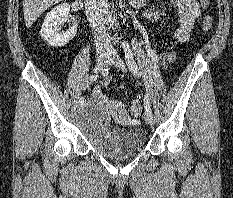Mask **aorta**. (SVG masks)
I'll use <instances>...</instances> for the list:
<instances>
[{
	"instance_id": "1",
	"label": "aorta",
	"mask_w": 233,
	"mask_h": 198,
	"mask_svg": "<svg viewBox=\"0 0 233 198\" xmlns=\"http://www.w3.org/2000/svg\"><path fill=\"white\" fill-rule=\"evenodd\" d=\"M102 3V12L106 16H109V3L108 0H101Z\"/></svg>"
}]
</instances>
